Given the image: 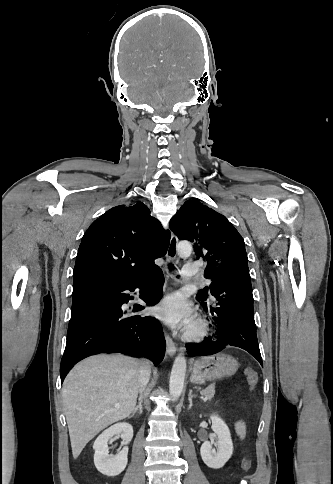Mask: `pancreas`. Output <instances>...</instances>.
Masks as SVG:
<instances>
[{"label":"pancreas","instance_id":"1","mask_svg":"<svg viewBox=\"0 0 333 484\" xmlns=\"http://www.w3.org/2000/svg\"><path fill=\"white\" fill-rule=\"evenodd\" d=\"M215 394V384H210L207 388L201 391V395L211 400Z\"/></svg>","mask_w":333,"mask_h":484}]
</instances>
